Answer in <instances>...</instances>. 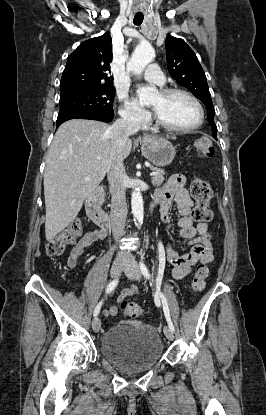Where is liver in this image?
Instances as JSON below:
<instances>
[{"instance_id": "liver-1", "label": "liver", "mask_w": 266, "mask_h": 415, "mask_svg": "<svg viewBox=\"0 0 266 415\" xmlns=\"http://www.w3.org/2000/svg\"><path fill=\"white\" fill-rule=\"evenodd\" d=\"M110 129L103 122L72 119L56 131L44 171L47 241L76 218L84 200L104 179L113 155ZM131 148L132 140L128 139L124 158Z\"/></svg>"}]
</instances>
